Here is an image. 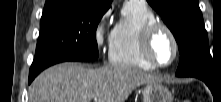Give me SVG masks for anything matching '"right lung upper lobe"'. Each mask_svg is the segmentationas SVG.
<instances>
[{
    "mask_svg": "<svg viewBox=\"0 0 221 102\" xmlns=\"http://www.w3.org/2000/svg\"><path fill=\"white\" fill-rule=\"evenodd\" d=\"M112 0H46L44 11L74 7L77 4H84L88 7L109 8Z\"/></svg>",
    "mask_w": 221,
    "mask_h": 102,
    "instance_id": "cb5924a9",
    "label": "right lung upper lobe"
}]
</instances>
